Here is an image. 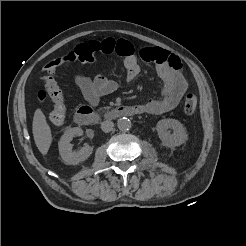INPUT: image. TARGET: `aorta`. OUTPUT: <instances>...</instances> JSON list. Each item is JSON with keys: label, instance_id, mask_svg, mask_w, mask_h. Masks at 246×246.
Listing matches in <instances>:
<instances>
[{"label": "aorta", "instance_id": "762f6f07", "mask_svg": "<svg viewBox=\"0 0 246 246\" xmlns=\"http://www.w3.org/2000/svg\"><path fill=\"white\" fill-rule=\"evenodd\" d=\"M131 121L126 118V117H123V118H120L118 121H117V127L119 130L121 131H127L131 128Z\"/></svg>", "mask_w": 246, "mask_h": 246}]
</instances>
